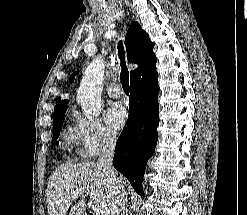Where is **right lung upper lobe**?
Listing matches in <instances>:
<instances>
[{
  "instance_id": "right-lung-upper-lobe-1",
  "label": "right lung upper lobe",
  "mask_w": 247,
  "mask_h": 215,
  "mask_svg": "<svg viewBox=\"0 0 247 215\" xmlns=\"http://www.w3.org/2000/svg\"><path fill=\"white\" fill-rule=\"evenodd\" d=\"M126 51L128 61L136 63L138 68L130 72V78L139 70L146 67L156 56L152 52L153 43L149 39V35L141 28L139 23L133 22L127 31L125 38ZM68 100L56 101L54 115L65 111Z\"/></svg>"
}]
</instances>
